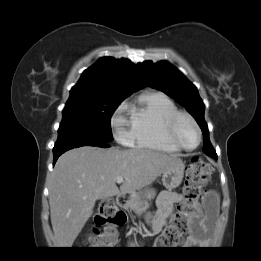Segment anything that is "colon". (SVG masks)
<instances>
[{"mask_svg": "<svg viewBox=\"0 0 261 261\" xmlns=\"http://www.w3.org/2000/svg\"><path fill=\"white\" fill-rule=\"evenodd\" d=\"M212 167L199 157L192 159L186 169L184 183L185 200L166 226L163 232L156 238L154 245L159 248H169L178 245L189 231L197 209L194 207L203 195L208 184ZM126 221L124 212L117 209L112 199L102 201L95 216V228L89 236V242L95 248H109L115 245L117 240V228Z\"/></svg>", "mask_w": 261, "mask_h": 261, "instance_id": "colon-1", "label": "colon"}]
</instances>
